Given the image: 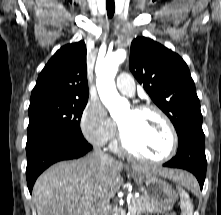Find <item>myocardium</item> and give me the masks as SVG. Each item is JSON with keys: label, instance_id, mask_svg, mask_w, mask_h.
Returning a JSON list of instances; mask_svg holds the SVG:
<instances>
[{"label": "myocardium", "instance_id": "myocardium-1", "mask_svg": "<svg viewBox=\"0 0 221 215\" xmlns=\"http://www.w3.org/2000/svg\"><path fill=\"white\" fill-rule=\"evenodd\" d=\"M133 110L136 112H153L161 118L170 136V148L165 155L159 158H151V157L141 155L130 148V146L128 145L125 139L123 131L119 125V144H120V148L122 149V151L132 158L149 162V163H164L170 160L171 158H173L177 152L179 140H178L176 129L172 121L170 120V118L166 115V113L159 107L155 105H151V104L138 105Z\"/></svg>", "mask_w": 221, "mask_h": 215}]
</instances>
